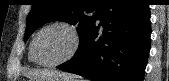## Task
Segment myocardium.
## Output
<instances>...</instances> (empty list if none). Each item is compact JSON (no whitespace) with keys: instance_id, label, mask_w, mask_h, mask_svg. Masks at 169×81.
<instances>
[{"instance_id":"1","label":"myocardium","mask_w":169,"mask_h":81,"mask_svg":"<svg viewBox=\"0 0 169 81\" xmlns=\"http://www.w3.org/2000/svg\"><path fill=\"white\" fill-rule=\"evenodd\" d=\"M55 27H61V28L66 29L72 36L73 45H72V48L70 49V51L68 52V54L66 56H64L62 59H60L56 62H52V63H45V62L41 61L38 57L37 49H36L37 41H38L39 36L43 32H45L48 29L55 28ZM80 42H81L80 33L74 25L64 22V21L53 22V23H50V24L44 26L43 28H41L34 36V39L32 41V55H33L35 61L39 65L46 67V68H54L56 66H59L65 62L69 61L77 53V51L80 47Z\"/></svg>"}]
</instances>
